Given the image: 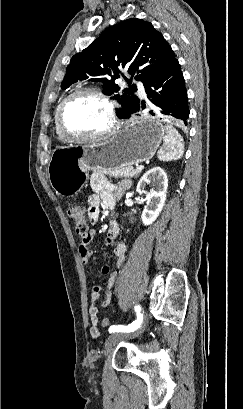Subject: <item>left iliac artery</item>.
Listing matches in <instances>:
<instances>
[{
	"mask_svg": "<svg viewBox=\"0 0 243 409\" xmlns=\"http://www.w3.org/2000/svg\"><path fill=\"white\" fill-rule=\"evenodd\" d=\"M135 311L137 314V319L132 324L127 325V326H124V325L111 326L109 328V332L110 333H119V332L129 333V332H133L136 329H138L143 321V314L141 313V306L136 305Z\"/></svg>",
	"mask_w": 243,
	"mask_h": 409,
	"instance_id": "44dca946",
	"label": "left iliac artery"
}]
</instances>
